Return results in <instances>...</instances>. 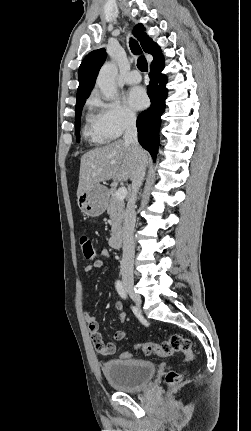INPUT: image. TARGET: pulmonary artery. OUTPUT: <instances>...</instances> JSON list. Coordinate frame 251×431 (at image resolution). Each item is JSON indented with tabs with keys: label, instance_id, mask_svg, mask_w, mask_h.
I'll return each instance as SVG.
<instances>
[{
	"label": "pulmonary artery",
	"instance_id": "1",
	"mask_svg": "<svg viewBox=\"0 0 251 431\" xmlns=\"http://www.w3.org/2000/svg\"><path fill=\"white\" fill-rule=\"evenodd\" d=\"M140 80H141V76L139 72L136 70H132L124 76V82L127 84H136V83H139Z\"/></svg>",
	"mask_w": 251,
	"mask_h": 431
}]
</instances>
